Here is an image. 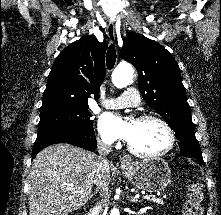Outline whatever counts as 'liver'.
<instances>
[{"label":"liver","mask_w":221,"mask_h":215,"mask_svg":"<svg viewBox=\"0 0 221 215\" xmlns=\"http://www.w3.org/2000/svg\"><path fill=\"white\" fill-rule=\"evenodd\" d=\"M98 156L69 144H55L34 159L28 180L29 215H68L91 196ZM108 180L110 171L108 165Z\"/></svg>","instance_id":"obj_1"}]
</instances>
